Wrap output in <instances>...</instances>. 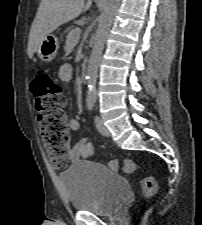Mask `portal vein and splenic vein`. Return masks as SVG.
Masks as SVG:
<instances>
[{"label":"portal vein and splenic vein","instance_id":"portal-vein-and-splenic-vein-1","mask_svg":"<svg viewBox=\"0 0 202 225\" xmlns=\"http://www.w3.org/2000/svg\"><path fill=\"white\" fill-rule=\"evenodd\" d=\"M81 35V29L79 27L74 28L71 30L67 37H66V43H71L72 45H77Z\"/></svg>","mask_w":202,"mask_h":225}]
</instances>
